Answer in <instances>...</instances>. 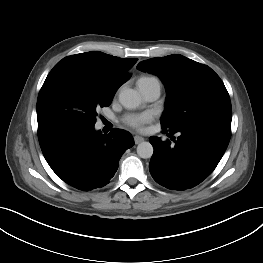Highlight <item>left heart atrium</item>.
I'll list each match as a JSON object with an SVG mask.
<instances>
[{
    "label": "left heart atrium",
    "mask_w": 263,
    "mask_h": 263,
    "mask_svg": "<svg viewBox=\"0 0 263 263\" xmlns=\"http://www.w3.org/2000/svg\"><path fill=\"white\" fill-rule=\"evenodd\" d=\"M150 121L151 116L148 114L130 115L125 118L126 124L138 130H142L144 125Z\"/></svg>",
    "instance_id": "1"
}]
</instances>
